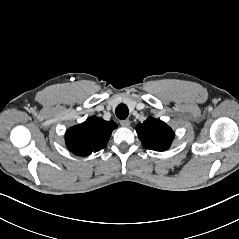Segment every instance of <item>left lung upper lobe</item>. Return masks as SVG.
Instances as JSON below:
<instances>
[{"instance_id": "obj_1", "label": "left lung upper lobe", "mask_w": 239, "mask_h": 239, "mask_svg": "<svg viewBox=\"0 0 239 239\" xmlns=\"http://www.w3.org/2000/svg\"><path fill=\"white\" fill-rule=\"evenodd\" d=\"M136 131L142 141V145L146 149L155 151L167 150L174 139L172 129L163 121L152 117L138 124Z\"/></svg>"}]
</instances>
